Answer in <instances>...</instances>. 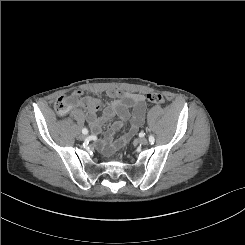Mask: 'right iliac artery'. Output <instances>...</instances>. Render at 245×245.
<instances>
[{
	"mask_svg": "<svg viewBox=\"0 0 245 245\" xmlns=\"http://www.w3.org/2000/svg\"><path fill=\"white\" fill-rule=\"evenodd\" d=\"M82 133L85 134V135L88 134L87 128H83V129H82Z\"/></svg>",
	"mask_w": 245,
	"mask_h": 245,
	"instance_id": "1",
	"label": "right iliac artery"
}]
</instances>
